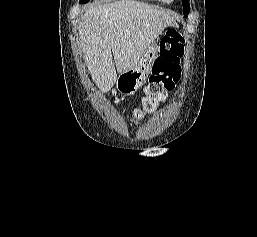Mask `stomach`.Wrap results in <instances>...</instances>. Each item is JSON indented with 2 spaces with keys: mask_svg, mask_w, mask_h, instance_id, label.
Returning <instances> with one entry per match:
<instances>
[{
  "mask_svg": "<svg viewBox=\"0 0 257 237\" xmlns=\"http://www.w3.org/2000/svg\"><path fill=\"white\" fill-rule=\"evenodd\" d=\"M157 54L158 45L153 41L142 55L137 65L119 75L116 81L118 91L124 95L136 93L149 76Z\"/></svg>",
  "mask_w": 257,
  "mask_h": 237,
  "instance_id": "1",
  "label": "stomach"
}]
</instances>
